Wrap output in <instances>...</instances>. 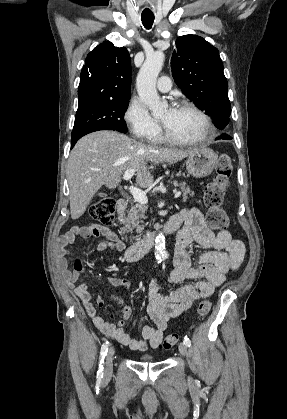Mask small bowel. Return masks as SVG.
I'll list each match as a JSON object with an SVG mask.
<instances>
[{
	"mask_svg": "<svg viewBox=\"0 0 287 419\" xmlns=\"http://www.w3.org/2000/svg\"><path fill=\"white\" fill-rule=\"evenodd\" d=\"M169 224L175 228L182 225V229L178 234L174 253L175 268L165 278L168 282L174 284L188 282L168 295H162L159 293L158 280L152 281L148 292L147 312L155 327L142 326V339L130 337L123 328L125 321L130 318L132 312L122 299L112 296V299L122 309V320L115 323L113 322V316L110 317L111 321L102 318L98 315L91 301V295L87 291L86 284L76 285L79 272L71 271L68 268L66 256L69 254V250L67 246L72 244L78 236L84 238L104 237L105 240L96 245L97 251L121 252L125 249V244L118 238L117 234L107 227L96 224L74 226L61 236L56 249V266L66 284L73 288L94 325L105 335L136 351L157 348L162 341L168 321L181 315L196 300L211 296L215 289L224 283L226 273L238 269L244 259L245 247L243 243L232 238L227 230L214 232L205 223L201 212L196 209L183 210L172 217ZM194 241L204 249L199 256L197 266L191 264L189 252V247ZM108 284L123 286L127 291L131 288L130 280L123 277L110 278ZM103 304V295L100 292L96 299V305L103 306Z\"/></svg>",
	"mask_w": 287,
	"mask_h": 419,
	"instance_id": "1",
	"label": "small bowel"
}]
</instances>
